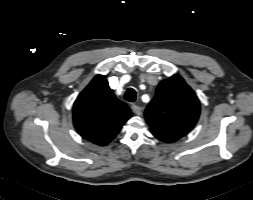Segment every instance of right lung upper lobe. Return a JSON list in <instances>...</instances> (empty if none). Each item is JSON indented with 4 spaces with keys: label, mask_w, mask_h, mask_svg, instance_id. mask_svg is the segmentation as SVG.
I'll return each instance as SVG.
<instances>
[{
    "label": "right lung upper lobe",
    "mask_w": 253,
    "mask_h": 200,
    "mask_svg": "<svg viewBox=\"0 0 253 200\" xmlns=\"http://www.w3.org/2000/svg\"><path fill=\"white\" fill-rule=\"evenodd\" d=\"M131 117V110L118 100L105 76L97 75L74 103L76 130L94 144H108Z\"/></svg>",
    "instance_id": "right-lung-upper-lobe-1"
}]
</instances>
